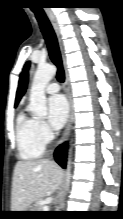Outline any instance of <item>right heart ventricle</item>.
Here are the masks:
<instances>
[{
	"label": "right heart ventricle",
	"mask_w": 123,
	"mask_h": 219,
	"mask_svg": "<svg viewBox=\"0 0 123 219\" xmlns=\"http://www.w3.org/2000/svg\"><path fill=\"white\" fill-rule=\"evenodd\" d=\"M16 144L20 158L26 161L40 158L45 150L38 122L23 112L18 115L16 121Z\"/></svg>",
	"instance_id": "right-heart-ventricle-1"
}]
</instances>
